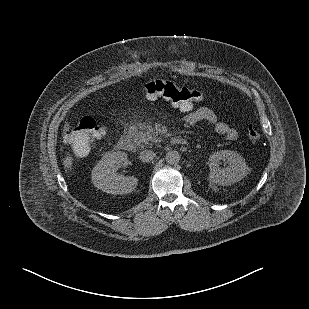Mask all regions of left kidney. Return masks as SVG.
Masks as SVG:
<instances>
[{"label": "left kidney", "mask_w": 309, "mask_h": 309, "mask_svg": "<svg viewBox=\"0 0 309 309\" xmlns=\"http://www.w3.org/2000/svg\"><path fill=\"white\" fill-rule=\"evenodd\" d=\"M224 163L223 168L220 165ZM210 182L228 186L242 180L248 170L245 159L237 152L222 150L214 153L209 159Z\"/></svg>", "instance_id": "5707ae66"}]
</instances>
